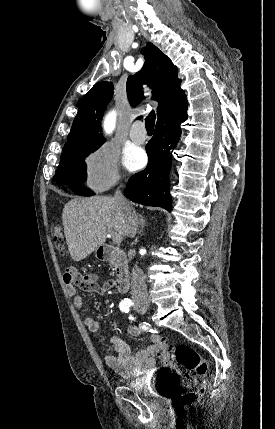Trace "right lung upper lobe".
Returning <instances> with one entry per match:
<instances>
[{
  "label": "right lung upper lobe",
  "mask_w": 275,
  "mask_h": 429,
  "mask_svg": "<svg viewBox=\"0 0 275 429\" xmlns=\"http://www.w3.org/2000/svg\"><path fill=\"white\" fill-rule=\"evenodd\" d=\"M142 52L145 54L143 68L129 76L126 83L130 103L136 105L143 100L142 84L145 83L153 88V98L159 102L157 124L186 113L187 100L180 88L181 80L177 77L176 66L152 43H147V48ZM112 95V83L103 81L96 83L83 97L61 158L97 150L105 142L99 133L100 120Z\"/></svg>",
  "instance_id": "cb5924a9"
}]
</instances>
